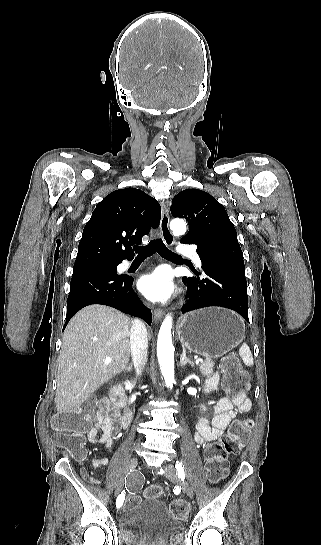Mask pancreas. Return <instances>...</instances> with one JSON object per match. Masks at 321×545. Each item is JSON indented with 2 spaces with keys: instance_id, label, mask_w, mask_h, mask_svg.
I'll return each mask as SVG.
<instances>
[{
  "instance_id": "pancreas-1",
  "label": "pancreas",
  "mask_w": 321,
  "mask_h": 545,
  "mask_svg": "<svg viewBox=\"0 0 321 545\" xmlns=\"http://www.w3.org/2000/svg\"><path fill=\"white\" fill-rule=\"evenodd\" d=\"M213 367H215V363L214 361H212V359H206V361H201L199 365V369L202 375H204V377H208V375H212Z\"/></svg>"
}]
</instances>
